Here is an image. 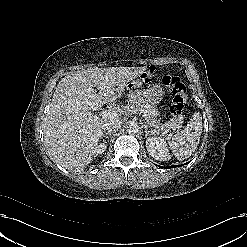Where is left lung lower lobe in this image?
Masks as SVG:
<instances>
[{"label":"left lung lower lobe","instance_id":"obj_1","mask_svg":"<svg viewBox=\"0 0 247 247\" xmlns=\"http://www.w3.org/2000/svg\"><path fill=\"white\" fill-rule=\"evenodd\" d=\"M178 166V165H177ZM174 168V167H176V166H169V167H164V168H166V169H168V168ZM163 168V167H162Z\"/></svg>","mask_w":247,"mask_h":247}]
</instances>
